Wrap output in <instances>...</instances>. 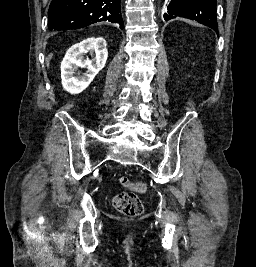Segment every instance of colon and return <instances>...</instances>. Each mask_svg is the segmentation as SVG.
Returning a JSON list of instances; mask_svg holds the SVG:
<instances>
[{"label": "colon", "instance_id": "obj_1", "mask_svg": "<svg viewBox=\"0 0 256 267\" xmlns=\"http://www.w3.org/2000/svg\"><path fill=\"white\" fill-rule=\"evenodd\" d=\"M120 181L132 190H136L135 192H145L147 190L145 184L132 183L126 175L121 176ZM135 195L134 193H125V195L113 198V206L117 212L127 217L139 216L144 210V205Z\"/></svg>", "mask_w": 256, "mask_h": 267}]
</instances>
